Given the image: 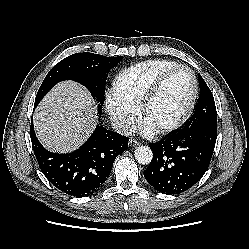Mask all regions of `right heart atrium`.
<instances>
[{
    "mask_svg": "<svg viewBox=\"0 0 249 249\" xmlns=\"http://www.w3.org/2000/svg\"><path fill=\"white\" fill-rule=\"evenodd\" d=\"M105 109L115 128L122 133L129 132L138 117L137 110L120 101L113 93L107 94Z\"/></svg>",
    "mask_w": 249,
    "mask_h": 249,
    "instance_id": "right-heart-atrium-1",
    "label": "right heart atrium"
}]
</instances>
